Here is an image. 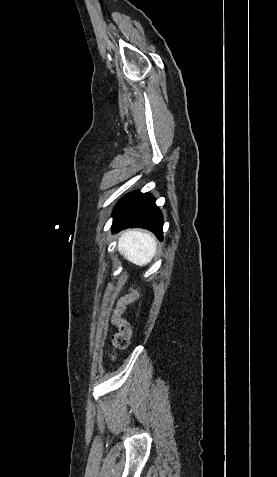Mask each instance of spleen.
I'll list each match as a JSON object with an SVG mask.
<instances>
[{
  "label": "spleen",
  "mask_w": 277,
  "mask_h": 477,
  "mask_svg": "<svg viewBox=\"0 0 277 477\" xmlns=\"http://www.w3.org/2000/svg\"><path fill=\"white\" fill-rule=\"evenodd\" d=\"M157 243L153 235L138 230H130L121 235L118 251L128 261L138 266L151 262L156 254Z\"/></svg>",
  "instance_id": "obj_1"
}]
</instances>
